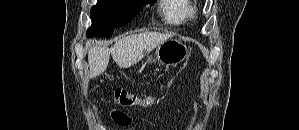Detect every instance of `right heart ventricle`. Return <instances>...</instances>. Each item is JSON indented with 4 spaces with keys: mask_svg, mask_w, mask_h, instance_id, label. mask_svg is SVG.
Instances as JSON below:
<instances>
[{
    "mask_svg": "<svg viewBox=\"0 0 299 130\" xmlns=\"http://www.w3.org/2000/svg\"><path fill=\"white\" fill-rule=\"evenodd\" d=\"M189 1L164 0L161 1L160 13L165 23L179 26L187 22L189 16Z\"/></svg>",
    "mask_w": 299,
    "mask_h": 130,
    "instance_id": "1",
    "label": "right heart ventricle"
}]
</instances>
